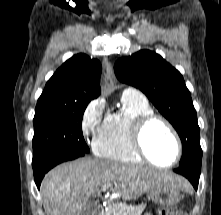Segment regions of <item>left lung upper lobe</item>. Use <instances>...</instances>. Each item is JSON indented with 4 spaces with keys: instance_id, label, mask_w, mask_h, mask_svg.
Wrapping results in <instances>:
<instances>
[{
    "instance_id": "1",
    "label": "left lung upper lobe",
    "mask_w": 221,
    "mask_h": 215,
    "mask_svg": "<svg viewBox=\"0 0 221 215\" xmlns=\"http://www.w3.org/2000/svg\"><path fill=\"white\" fill-rule=\"evenodd\" d=\"M119 81L139 88L178 132L183 154L179 167H201L200 128L191 95L180 72L159 54L141 50L114 65Z\"/></svg>"
}]
</instances>
